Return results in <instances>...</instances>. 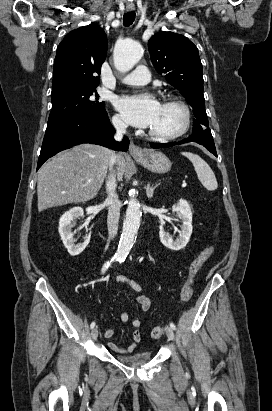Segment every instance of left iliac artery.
Returning a JSON list of instances; mask_svg holds the SVG:
<instances>
[{"label": "left iliac artery", "instance_id": "left-iliac-artery-1", "mask_svg": "<svg viewBox=\"0 0 272 411\" xmlns=\"http://www.w3.org/2000/svg\"><path fill=\"white\" fill-rule=\"evenodd\" d=\"M123 261H124V259L120 260L119 262L121 263V262H123ZM170 327H171L173 330L176 329V326H175V324H174L173 322L170 323Z\"/></svg>", "mask_w": 272, "mask_h": 411}]
</instances>
